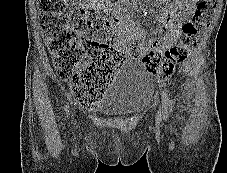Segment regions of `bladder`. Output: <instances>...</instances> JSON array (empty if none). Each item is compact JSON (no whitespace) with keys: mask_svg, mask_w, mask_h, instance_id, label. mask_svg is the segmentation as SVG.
Wrapping results in <instances>:
<instances>
[{"mask_svg":"<svg viewBox=\"0 0 227 173\" xmlns=\"http://www.w3.org/2000/svg\"><path fill=\"white\" fill-rule=\"evenodd\" d=\"M152 77L138 61L126 62L105 89L97 109L107 114H129L138 111L152 91Z\"/></svg>","mask_w":227,"mask_h":173,"instance_id":"1","label":"bladder"}]
</instances>
